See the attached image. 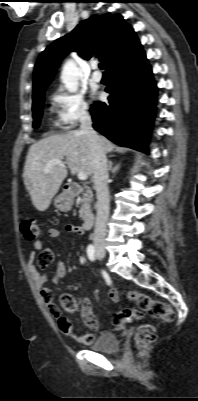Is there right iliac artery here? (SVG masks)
Returning <instances> with one entry per match:
<instances>
[{
    "label": "right iliac artery",
    "mask_w": 198,
    "mask_h": 401,
    "mask_svg": "<svg viewBox=\"0 0 198 401\" xmlns=\"http://www.w3.org/2000/svg\"><path fill=\"white\" fill-rule=\"evenodd\" d=\"M87 255L91 261L95 260V248L93 245H89L87 248Z\"/></svg>",
    "instance_id": "1"
}]
</instances>
